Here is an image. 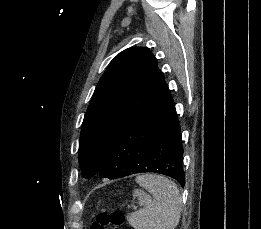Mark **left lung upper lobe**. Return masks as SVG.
I'll return each instance as SVG.
<instances>
[{
  "instance_id": "1",
  "label": "left lung upper lobe",
  "mask_w": 261,
  "mask_h": 229,
  "mask_svg": "<svg viewBox=\"0 0 261 229\" xmlns=\"http://www.w3.org/2000/svg\"><path fill=\"white\" fill-rule=\"evenodd\" d=\"M164 84L157 60L147 48L126 49L111 61L81 128L79 163L84 178L97 174L112 144Z\"/></svg>"
}]
</instances>
